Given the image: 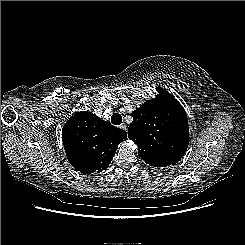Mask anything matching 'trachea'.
<instances>
[{"label":"trachea","mask_w":245,"mask_h":245,"mask_svg":"<svg viewBox=\"0 0 245 245\" xmlns=\"http://www.w3.org/2000/svg\"><path fill=\"white\" fill-rule=\"evenodd\" d=\"M111 122L114 125H120L122 123V116L119 113H114L111 117Z\"/></svg>","instance_id":"obj_1"}]
</instances>
